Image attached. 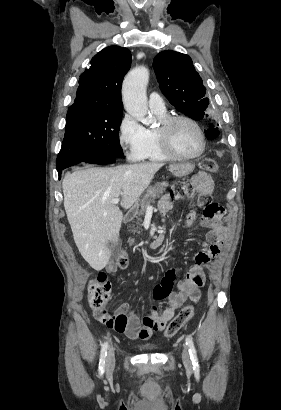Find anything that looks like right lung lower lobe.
Masks as SVG:
<instances>
[{"instance_id":"98d812e1","label":"right lung lower lobe","mask_w":281,"mask_h":410,"mask_svg":"<svg viewBox=\"0 0 281 410\" xmlns=\"http://www.w3.org/2000/svg\"><path fill=\"white\" fill-rule=\"evenodd\" d=\"M114 161H115V158H80V159H74V160L67 162L66 164L58 168L57 170H58L59 178H61V173L63 169L70 167L72 165L78 164L80 162H87L91 164L103 165V164L113 163Z\"/></svg>"}]
</instances>
